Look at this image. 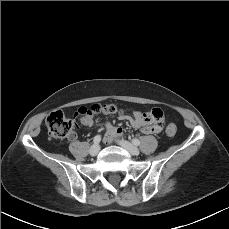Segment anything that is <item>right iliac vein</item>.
Segmentation results:
<instances>
[{"mask_svg": "<svg viewBox=\"0 0 229 229\" xmlns=\"http://www.w3.org/2000/svg\"><path fill=\"white\" fill-rule=\"evenodd\" d=\"M99 150H100L99 145L94 144V145L90 148L89 153H90L92 156H95V155L98 154Z\"/></svg>", "mask_w": 229, "mask_h": 229, "instance_id": "obj_1", "label": "right iliac vein"}]
</instances>
